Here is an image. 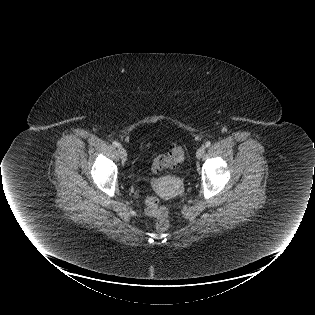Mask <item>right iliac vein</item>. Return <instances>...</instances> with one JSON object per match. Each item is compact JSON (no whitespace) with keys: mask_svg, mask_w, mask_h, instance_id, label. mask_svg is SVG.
<instances>
[{"mask_svg":"<svg viewBox=\"0 0 315 315\" xmlns=\"http://www.w3.org/2000/svg\"><path fill=\"white\" fill-rule=\"evenodd\" d=\"M118 152H119V155H120L122 161L125 162L127 160V152H126V150L123 147H119L118 148Z\"/></svg>","mask_w":315,"mask_h":315,"instance_id":"63e3f726","label":"right iliac vein"}]
</instances>
